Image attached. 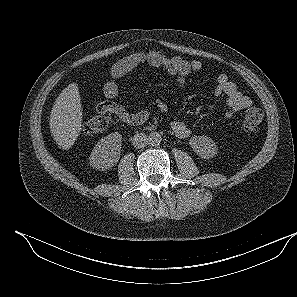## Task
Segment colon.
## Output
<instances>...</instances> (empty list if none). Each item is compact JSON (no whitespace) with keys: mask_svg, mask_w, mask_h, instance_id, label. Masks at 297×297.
<instances>
[{"mask_svg":"<svg viewBox=\"0 0 297 297\" xmlns=\"http://www.w3.org/2000/svg\"><path fill=\"white\" fill-rule=\"evenodd\" d=\"M109 112L99 114L83 124V131L86 134H100L114 123L115 116ZM263 120V112L257 107H251L244 113L242 127L245 131L254 132Z\"/></svg>","mask_w":297,"mask_h":297,"instance_id":"obj_1","label":"colon"}]
</instances>
